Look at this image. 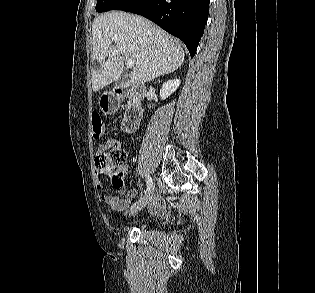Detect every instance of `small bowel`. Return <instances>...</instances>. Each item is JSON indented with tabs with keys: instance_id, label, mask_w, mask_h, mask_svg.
Returning <instances> with one entry per match:
<instances>
[{
	"instance_id": "small-bowel-1",
	"label": "small bowel",
	"mask_w": 315,
	"mask_h": 293,
	"mask_svg": "<svg viewBox=\"0 0 315 293\" xmlns=\"http://www.w3.org/2000/svg\"><path fill=\"white\" fill-rule=\"evenodd\" d=\"M116 141H117L116 139H110L107 142H105L102 146H100L98 154L104 153ZM95 184L98 190H101L103 188V184L99 179H96ZM127 195L128 196L126 198H118L111 194H103L101 195V200L108 206L109 210L121 211L124 210L130 202H133L135 200L136 192L135 190H128ZM149 211L152 214L162 215L168 211V207L165 200L162 197H156L150 203Z\"/></svg>"
}]
</instances>
